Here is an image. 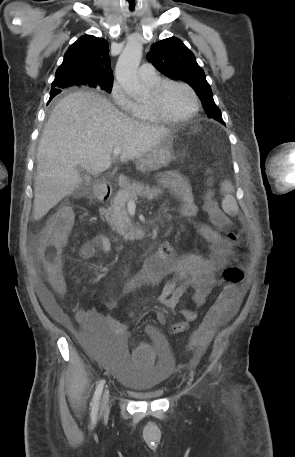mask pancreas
I'll list each match as a JSON object with an SVG mask.
<instances>
[{
	"instance_id": "pancreas-1",
	"label": "pancreas",
	"mask_w": 295,
	"mask_h": 457,
	"mask_svg": "<svg viewBox=\"0 0 295 457\" xmlns=\"http://www.w3.org/2000/svg\"><path fill=\"white\" fill-rule=\"evenodd\" d=\"M162 191L158 188H150L148 185L132 182L123 186L115 195L111 206L104 211L105 218L111 228L126 239L136 237V231L131 218L126 210L129 200H137L138 197L152 200Z\"/></svg>"
}]
</instances>
